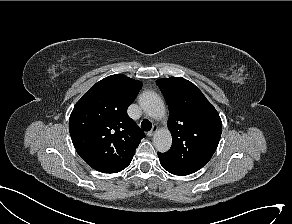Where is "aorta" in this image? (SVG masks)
Returning <instances> with one entry per match:
<instances>
[{
    "label": "aorta",
    "instance_id": "aorta-1",
    "mask_svg": "<svg viewBox=\"0 0 292 224\" xmlns=\"http://www.w3.org/2000/svg\"><path fill=\"white\" fill-rule=\"evenodd\" d=\"M139 104L143 111L150 117L160 119L165 115V105L160 96L147 91L139 97ZM153 145L159 152H166L171 148L172 136L168 129L158 130L153 137Z\"/></svg>",
    "mask_w": 292,
    "mask_h": 224
}]
</instances>
